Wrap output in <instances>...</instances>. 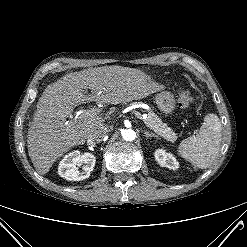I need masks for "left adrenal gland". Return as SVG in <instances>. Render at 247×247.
<instances>
[{"instance_id":"1","label":"left adrenal gland","mask_w":247,"mask_h":247,"mask_svg":"<svg viewBox=\"0 0 247 247\" xmlns=\"http://www.w3.org/2000/svg\"><path fill=\"white\" fill-rule=\"evenodd\" d=\"M144 134H145V137L146 138H149V137L152 138V137H154V138L158 139V136L157 135L153 134L152 132L150 133L147 130H144Z\"/></svg>"}]
</instances>
